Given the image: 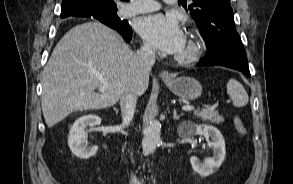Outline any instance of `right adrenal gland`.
Returning a JSON list of instances; mask_svg holds the SVG:
<instances>
[{
	"mask_svg": "<svg viewBox=\"0 0 293 184\" xmlns=\"http://www.w3.org/2000/svg\"><path fill=\"white\" fill-rule=\"evenodd\" d=\"M114 110H115L116 114H118L119 110H118V109H116V108H114Z\"/></svg>",
	"mask_w": 293,
	"mask_h": 184,
	"instance_id": "1",
	"label": "right adrenal gland"
}]
</instances>
